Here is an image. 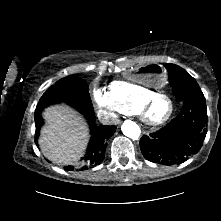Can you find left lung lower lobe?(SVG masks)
Masks as SVG:
<instances>
[{
    "mask_svg": "<svg viewBox=\"0 0 221 221\" xmlns=\"http://www.w3.org/2000/svg\"><path fill=\"white\" fill-rule=\"evenodd\" d=\"M208 126L205 98L183 103L181 112L168 125L150 135H143L140 148L143 156L157 164L185 162L199 152Z\"/></svg>",
    "mask_w": 221,
    "mask_h": 221,
    "instance_id": "0a47b994",
    "label": "left lung lower lobe"
}]
</instances>
